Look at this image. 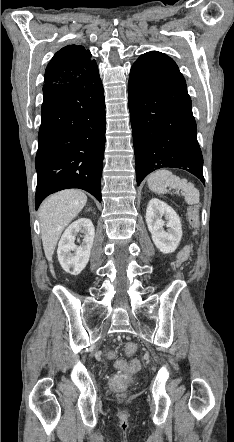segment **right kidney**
I'll list each match as a JSON object with an SVG mask.
<instances>
[{"instance_id": "1", "label": "right kidney", "mask_w": 234, "mask_h": 442, "mask_svg": "<svg viewBox=\"0 0 234 442\" xmlns=\"http://www.w3.org/2000/svg\"><path fill=\"white\" fill-rule=\"evenodd\" d=\"M79 233L84 235L82 243L77 246L75 240ZM94 236L95 228L88 218H79L68 226L59 241L57 249L58 260L66 272L78 275L86 267L90 258ZM78 242H80L79 239Z\"/></svg>"}]
</instances>
